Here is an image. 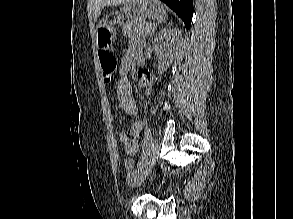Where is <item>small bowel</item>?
<instances>
[{"label":"small bowel","mask_w":293,"mask_h":219,"mask_svg":"<svg viewBox=\"0 0 293 219\" xmlns=\"http://www.w3.org/2000/svg\"><path fill=\"white\" fill-rule=\"evenodd\" d=\"M142 51V44L139 41H133L128 46L126 53L124 54L121 65H120V74L121 78L118 80L116 85V94H117V106L115 114L126 112L130 115H136L137 107L135 101L132 97V91L130 82L127 78L128 73L135 61L140 58ZM150 78V72L148 70H140L138 74L139 85L145 86ZM142 133V122L136 121L131 127V138L128 137L125 131H120L119 137L123 143L124 151L127 155H135L139 149V139ZM134 174L130 176L133 178Z\"/></svg>","instance_id":"c3829d8e"}]
</instances>
